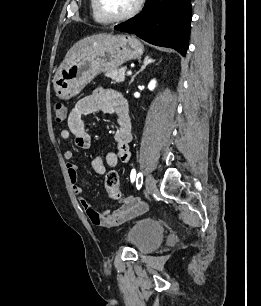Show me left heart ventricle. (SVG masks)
<instances>
[{"mask_svg": "<svg viewBox=\"0 0 261 306\" xmlns=\"http://www.w3.org/2000/svg\"><path fill=\"white\" fill-rule=\"evenodd\" d=\"M105 9L111 15H123L130 11L137 0H102Z\"/></svg>", "mask_w": 261, "mask_h": 306, "instance_id": "obj_1", "label": "left heart ventricle"}]
</instances>
